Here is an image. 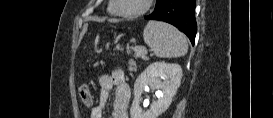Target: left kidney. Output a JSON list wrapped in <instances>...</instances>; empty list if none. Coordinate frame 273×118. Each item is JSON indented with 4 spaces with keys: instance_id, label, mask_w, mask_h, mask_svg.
I'll return each instance as SVG.
<instances>
[{
    "instance_id": "5707ae66",
    "label": "left kidney",
    "mask_w": 273,
    "mask_h": 118,
    "mask_svg": "<svg viewBox=\"0 0 273 118\" xmlns=\"http://www.w3.org/2000/svg\"><path fill=\"white\" fill-rule=\"evenodd\" d=\"M181 78L182 68L178 64L155 62L149 65L135 81L131 118H157L165 112L181 84ZM147 86L152 90H159L161 94L157 101L152 102L150 109L145 111L140 107V102Z\"/></svg>"
}]
</instances>
